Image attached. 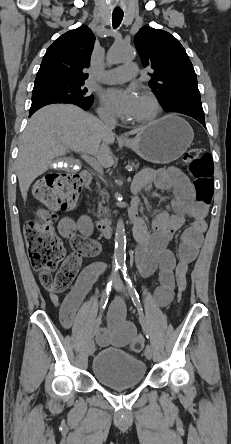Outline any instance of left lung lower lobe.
<instances>
[{
  "label": "left lung lower lobe",
  "instance_id": "left-lung-lower-lobe-1",
  "mask_svg": "<svg viewBox=\"0 0 231 444\" xmlns=\"http://www.w3.org/2000/svg\"><path fill=\"white\" fill-rule=\"evenodd\" d=\"M189 116H191L194 119H196L197 121H199L205 127L204 116H196V115H189Z\"/></svg>",
  "mask_w": 231,
  "mask_h": 444
}]
</instances>
